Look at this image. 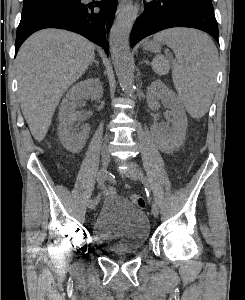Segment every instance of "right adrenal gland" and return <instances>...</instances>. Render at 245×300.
Listing matches in <instances>:
<instances>
[{
	"mask_svg": "<svg viewBox=\"0 0 245 300\" xmlns=\"http://www.w3.org/2000/svg\"><path fill=\"white\" fill-rule=\"evenodd\" d=\"M93 62L96 63L97 65L99 64V62H98L95 58L92 60L91 64H92Z\"/></svg>",
	"mask_w": 245,
	"mask_h": 300,
	"instance_id": "obj_1",
	"label": "right adrenal gland"
}]
</instances>
